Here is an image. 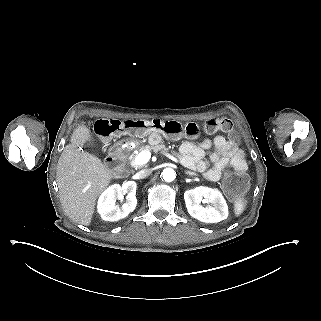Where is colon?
Here are the masks:
<instances>
[{
  "label": "colon",
  "mask_w": 321,
  "mask_h": 321,
  "mask_svg": "<svg viewBox=\"0 0 321 321\" xmlns=\"http://www.w3.org/2000/svg\"><path fill=\"white\" fill-rule=\"evenodd\" d=\"M164 132L169 136L198 137L202 132L216 134L224 132L232 136V142L237 143L233 133L231 121L225 117L208 119L202 127L193 122L181 124L174 120H125L117 119L98 120L94 125V132L100 138H110L121 134L141 135L147 132ZM233 170L224 175L222 187L230 198H238L248 188L249 177L244 170L232 166Z\"/></svg>",
  "instance_id": "1"
}]
</instances>
